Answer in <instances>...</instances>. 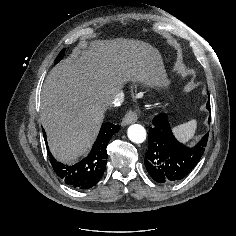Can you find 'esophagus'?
<instances>
[{
	"label": "esophagus",
	"instance_id": "1",
	"mask_svg": "<svg viewBox=\"0 0 236 236\" xmlns=\"http://www.w3.org/2000/svg\"><path fill=\"white\" fill-rule=\"evenodd\" d=\"M137 119H138L137 113L130 110L123 117L121 125L122 126H127L129 124H132V123L136 122Z\"/></svg>",
	"mask_w": 236,
	"mask_h": 236
}]
</instances>
